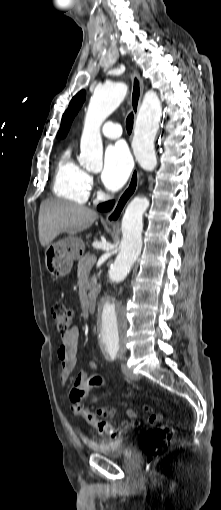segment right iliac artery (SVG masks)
<instances>
[{
  "label": "right iliac artery",
  "instance_id": "obj_1",
  "mask_svg": "<svg viewBox=\"0 0 221 510\" xmlns=\"http://www.w3.org/2000/svg\"><path fill=\"white\" fill-rule=\"evenodd\" d=\"M110 356H111V359H114L115 356H116V353L115 352H110Z\"/></svg>",
  "mask_w": 221,
  "mask_h": 510
}]
</instances>
